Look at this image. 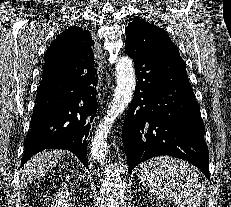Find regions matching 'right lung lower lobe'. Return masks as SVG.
Instances as JSON below:
<instances>
[{"label": "right lung lower lobe", "instance_id": "right-lung-lower-lobe-1", "mask_svg": "<svg viewBox=\"0 0 231 207\" xmlns=\"http://www.w3.org/2000/svg\"><path fill=\"white\" fill-rule=\"evenodd\" d=\"M87 59L79 64L85 68L43 69L21 167L36 153L51 148L70 150L89 170L87 137L98 107V77L94 58Z\"/></svg>", "mask_w": 231, "mask_h": 207}]
</instances>
